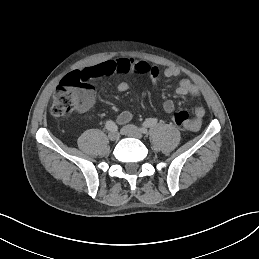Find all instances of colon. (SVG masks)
<instances>
[{
  "mask_svg": "<svg viewBox=\"0 0 259 259\" xmlns=\"http://www.w3.org/2000/svg\"><path fill=\"white\" fill-rule=\"evenodd\" d=\"M93 102V87L82 80L78 71L68 73L57 86L51 105V113L57 118L70 115L74 110H85ZM171 120L181 127L189 122L186 111L171 112Z\"/></svg>",
  "mask_w": 259,
  "mask_h": 259,
  "instance_id": "1",
  "label": "colon"
}]
</instances>
